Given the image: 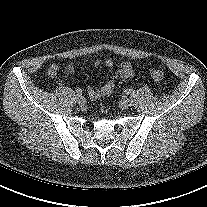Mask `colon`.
<instances>
[{
	"instance_id": "5ec220e1",
	"label": "colon",
	"mask_w": 207,
	"mask_h": 207,
	"mask_svg": "<svg viewBox=\"0 0 207 207\" xmlns=\"http://www.w3.org/2000/svg\"><path fill=\"white\" fill-rule=\"evenodd\" d=\"M150 75L155 81H162L164 79V73L159 69H152Z\"/></svg>"
}]
</instances>
